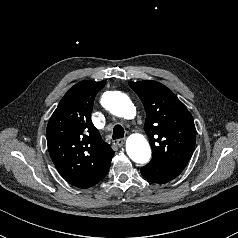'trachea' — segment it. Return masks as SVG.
<instances>
[{
  "label": "trachea",
  "mask_w": 238,
  "mask_h": 238,
  "mask_svg": "<svg viewBox=\"0 0 238 238\" xmlns=\"http://www.w3.org/2000/svg\"><path fill=\"white\" fill-rule=\"evenodd\" d=\"M113 139H119L124 137V129L121 125H116L113 128Z\"/></svg>",
  "instance_id": "3493384b"
}]
</instances>
